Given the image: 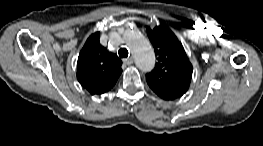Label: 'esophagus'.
Segmentation results:
<instances>
[{
  "label": "esophagus",
  "instance_id": "1",
  "mask_svg": "<svg viewBox=\"0 0 263 146\" xmlns=\"http://www.w3.org/2000/svg\"><path fill=\"white\" fill-rule=\"evenodd\" d=\"M123 62H124L126 65H131V64L133 63V58H132V57H129V58L123 59Z\"/></svg>",
  "mask_w": 263,
  "mask_h": 146
}]
</instances>
